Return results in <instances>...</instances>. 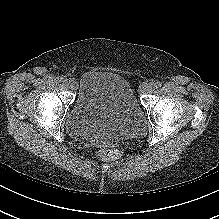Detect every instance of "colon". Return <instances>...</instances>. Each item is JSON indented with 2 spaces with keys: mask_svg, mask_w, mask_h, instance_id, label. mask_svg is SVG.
Listing matches in <instances>:
<instances>
[{
  "mask_svg": "<svg viewBox=\"0 0 219 219\" xmlns=\"http://www.w3.org/2000/svg\"><path fill=\"white\" fill-rule=\"evenodd\" d=\"M98 155L104 160L115 161L120 158L121 153L116 149H102Z\"/></svg>",
  "mask_w": 219,
  "mask_h": 219,
  "instance_id": "1",
  "label": "colon"
}]
</instances>
